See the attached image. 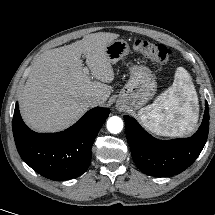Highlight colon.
Segmentation results:
<instances>
[{"instance_id":"colon-1","label":"colon","mask_w":215,"mask_h":215,"mask_svg":"<svg viewBox=\"0 0 215 215\" xmlns=\"http://www.w3.org/2000/svg\"><path fill=\"white\" fill-rule=\"evenodd\" d=\"M134 49L142 56L159 64H166L171 57V51L166 46L148 40H137Z\"/></svg>"}]
</instances>
